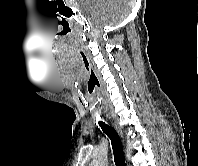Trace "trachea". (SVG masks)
I'll use <instances>...</instances> for the list:
<instances>
[{
  "instance_id": "obj_1",
  "label": "trachea",
  "mask_w": 198,
  "mask_h": 166,
  "mask_svg": "<svg viewBox=\"0 0 198 166\" xmlns=\"http://www.w3.org/2000/svg\"><path fill=\"white\" fill-rule=\"evenodd\" d=\"M98 124L102 128V131L111 140L115 165L126 166L123 146L118 133L112 127H110L109 125L105 124L102 121H99Z\"/></svg>"
}]
</instances>
